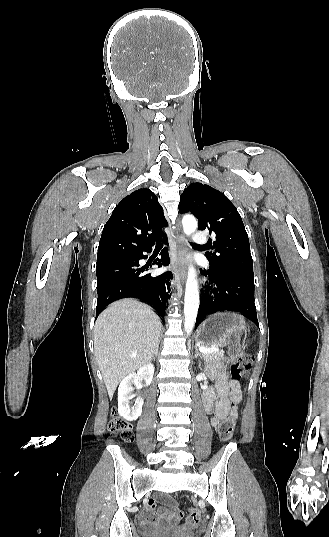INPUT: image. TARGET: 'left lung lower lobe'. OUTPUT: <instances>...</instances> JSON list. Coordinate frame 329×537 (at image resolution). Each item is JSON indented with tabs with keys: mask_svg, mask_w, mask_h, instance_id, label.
<instances>
[{
	"mask_svg": "<svg viewBox=\"0 0 329 537\" xmlns=\"http://www.w3.org/2000/svg\"><path fill=\"white\" fill-rule=\"evenodd\" d=\"M208 276L201 291L195 327L202 318L216 311L239 312L259 326L254 302V277L221 270H201Z\"/></svg>",
	"mask_w": 329,
	"mask_h": 537,
	"instance_id": "left-lung-lower-lobe-1",
	"label": "left lung lower lobe"
}]
</instances>
